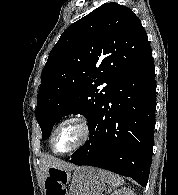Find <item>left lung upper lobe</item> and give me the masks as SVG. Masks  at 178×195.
<instances>
[{
    "instance_id": "5c2ea615",
    "label": "left lung upper lobe",
    "mask_w": 178,
    "mask_h": 195,
    "mask_svg": "<svg viewBox=\"0 0 178 195\" xmlns=\"http://www.w3.org/2000/svg\"><path fill=\"white\" fill-rule=\"evenodd\" d=\"M150 51L140 20L118 3H104L70 25L42 71L35 112L42 139L69 113L91 124L115 82Z\"/></svg>"
}]
</instances>
